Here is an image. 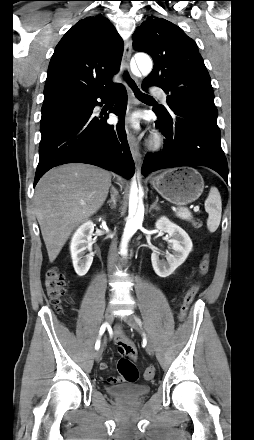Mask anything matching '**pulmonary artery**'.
<instances>
[{
    "mask_svg": "<svg viewBox=\"0 0 254 440\" xmlns=\"http://www.w3.org/2000/svg\"><path fill=\"white\" fill-rule=\"evenodd\" d=\"M150 92L154 95H156L157 97L160 98V100L166 104L167 103V95L164 93V91L159 88V87H153L150 89Z\"/></svg>",
    "mask_w": 254,
    "mask_h": 440,
    "instance_id": "pulmonary-artery-1",
    "label": "pulmonary artery"
}]
</instances>
